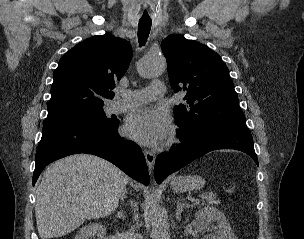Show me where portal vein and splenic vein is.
<instances>
[{"label": "portal vein and splenic vein", "instance_id": "1", "mask_svg": "<svg viewBox=\"0 0 304 239\" xmlns=\"http://www.w3.org/2000/svg\"><path fill=\"white\" fill-rule=\"evenodd\" d=\"M202 198H205V196L203 195ZM192 201L194 205L199 204V199H192Z\"/></svg>", "mask_w": 304, "mask_h": 239}]
</instances>
